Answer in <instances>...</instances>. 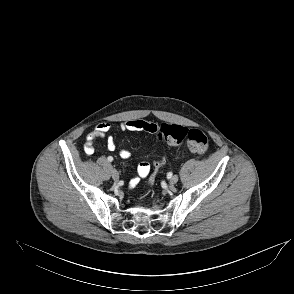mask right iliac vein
Wrapping results in <instances>:
<instances>
[{
  "instance_id": "right-iliac-vein-1",
  "label": "right iliac vein",
  "mask_w": 294,
  "mask_h": 294,
  "mask_svg": "<svg viewBox=\"0 0 294 294\" xmlns=\"http://www.w3.org/2000/svg\"><path fill=\"white\" fill-rule=\"evenodd\" d=\"M112 178H113V180L116 181V182L119 181V173H118V171L115 170V169L112 170Z\"/></svg>"
}]
</instances>
